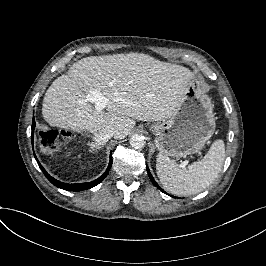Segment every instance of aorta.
<instances>
[{"instance_id":"1","label":"aorta","mask_w":266,"mask_h":266,"mask_svg":"<svg viewBox=\"0 0 266 266\" xmlns=\"http://www.w3.org/2000/svg\"><path fill=\"white\" fill-rule=\"evenodd\" d=\"M131 147L141 149L145 146V136L140 134H133L129 140Z\"/></svg>"}]
</instances>
